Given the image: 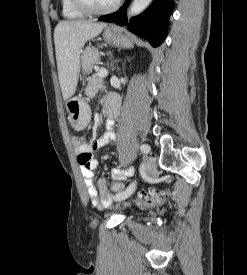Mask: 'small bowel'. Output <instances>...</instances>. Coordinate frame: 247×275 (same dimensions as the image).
<instances>
[{
	"instance_id": "c3829d8e",
	"label": "small bowel",
	"mask_w": 247,
	"mask_h": 275,
	"mask_svg": "<svg viewBox=\"0 0 247 275\" xmlns=\"http://www.w3.org/2000/svg\"><path fill=\"white\" fill-rule=\"evenodd\" d=\"M108 108L110 106H116L118 110L119 101L117 97L109 96L106 99ZM118 112V111H117ZM113 120L108 119L107 131L102 135L100 139L93 144H84L81 148L77 149V161L80 166L81 174L84 178L85 185L88 189V194L91 202L99 207L103 208L108 206L112 202L113 193L103 179L94 181V170L97 167V161L93 157V153L105 146L111 140H114L115 134L112 131ZM132 173L131 169L124 170L120 168H114L111 172L112 178L115 181H122Z\"/></svg>"
}]
</instances>
